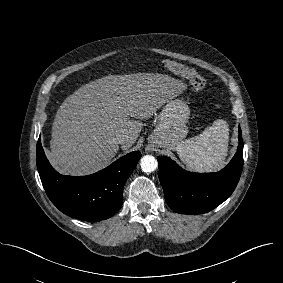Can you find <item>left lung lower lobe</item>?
Returning <instances> with one entry per match:
<instances>
[{"label": "left lung lower lobe", "instance_id": "1", "mask_svg": "<svg viewBox=\"0 0 283 283\" xmlns=\"http://www.w3.org/2000/svg\"><path fill=\"white\" fill-rule=\"evenodd\" d=\"M229 164L217 173H191L166 156H158L159 180L167 204L177 213L203 214L223 203L234 191L243 168V142Z\"/></svg>", "mask_w": 283, "mask_h": 283}]
</instances>
